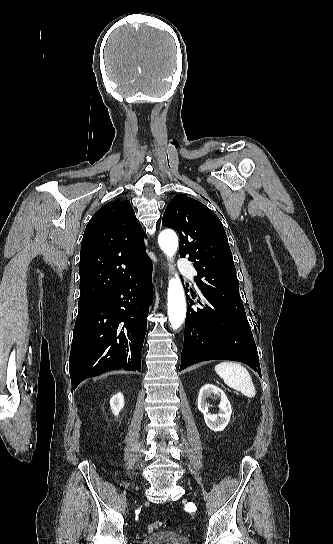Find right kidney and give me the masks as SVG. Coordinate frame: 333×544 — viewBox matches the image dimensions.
Returning a JSON list of instances; mask_svg holds the SVG:
<instances>
[{
	"label": "right kidney",
	"mask_w": 333,
	"mask_h": 544,
	"mask_svg": "<svg viewBox=\"0 0 333 544\" xmlns=\"http://www.w3.org/2000/svg\"><path fill=\"white\" fill-rule=\"evenodd\" d=\"M110 407L115 416L119 415V412L124 407V396L121 392L113 395L110 399Z\"/></svg>",
	"instance_id": "obj_1"
}]
</instances>
